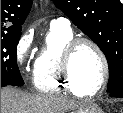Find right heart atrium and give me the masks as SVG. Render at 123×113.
<instances>
[{
  "mask_svg": "<svg viewBox=\"0 0 123 113\" xmlns=\"http://www.w3.org/2000/svg\"><path fill=\"white\" fill-rule=\"evenodd\" d=\"M31 44L32 36L25 34L18 40L15 47V61L22 73L29 69Z\"/></svg>",
  "mask_w": 123,
  "mask_h": 113,
  "instance_id": "1",
  "label": "right heart atrium"
}]
</instances>
